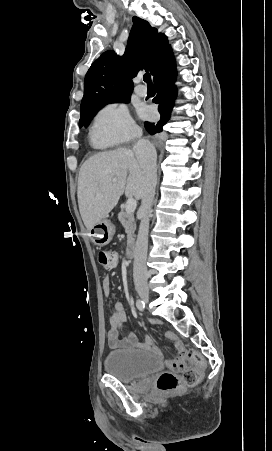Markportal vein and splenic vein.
<instances>
[{"mask_svg": "<svg viewBox=\"0 0 272 451\" xmlns=\"http://www.w3.org/2000/svg\"><path fill=\"white\" fill-rule=\"evenodd\" d=\"M137 206L136 200H133V198H129L126 202V214H133L135 212Z\"/></svg>", "mask_w": 272, "mask_h": 451, "instance_id": "portal-vein-and-splenic-vein-1", "label": "portal vein and splenic vein"}]
</instances>
